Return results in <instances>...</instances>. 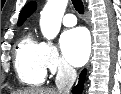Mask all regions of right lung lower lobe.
<instances>
[{
  "instance_id": "98d812e1",
  "label": "right lung lower lobe",
  "mask_w": 121,
  "mask_h": 94,
  "mask_svg": "<svg viewBox=\"0 0 121 94\" xmlns=\"http://www.w3.org/2000/svg\"><path fill=\"white\" fill-rule=\"evenodd\" d=\"M85 74L86 70H83L82 73L79 76V82L78 85L73 88V92L75 94H81L82 89H83V84H84V79H85Z\"/></svg>"
}]
</instances>
